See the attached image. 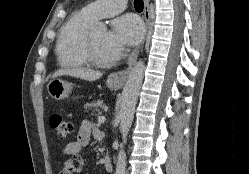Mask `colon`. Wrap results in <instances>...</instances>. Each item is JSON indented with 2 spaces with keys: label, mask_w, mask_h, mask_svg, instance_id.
Masks as SVG:
<instances>
[{
  "label": "colon",
  "mask_w": 249,
  "mask_h": 174,
  "mask_svg": "<svg viewBox=\"0 0 249 174\" xmlns=\"http://www.w3.org/2000/svg\"><path fill=\"white\" fill-rule=\"evenodd\" d=\"M50 126L60 140H65L73 132L72 123L59 114L50 117Z\"/></svg>",
  "instance_id": "obj_1"
}]
</instances>
